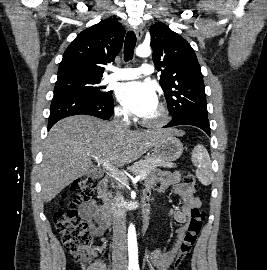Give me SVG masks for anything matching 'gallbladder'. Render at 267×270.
<instances>
[{"label":"gallbladder","mask_w":267,"mask_h":270,"mask_svg":"<svg viewBox=\"0 0 267 270\" xmlns=\"http://www.w3.org/2000/svg\"><path fill=\"white\" fill-rule=\"evenodd\" d=\"M103 175L102 171L97 168H90L86 173L85 176L92 178V179H99Z\"/></svg>","instance_id":"bac80fb5"}]
</instances>
